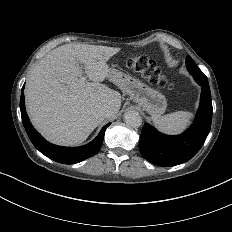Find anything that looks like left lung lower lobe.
<instances>
[{
	"mask_svg": "<svg viewBox=\"0 0 232 232\" xmlns=\"http://www.w3.org/2000/svg\"><path fill=\"white\" fill-rule=\"evenodd\" d=\"M201 86L200 105L193 124L182 134L169 136L158 132L145 123L139 150L152 164L170 167L189 161L203 146L211 129L212 100L208 83L198 82Z\"/></svg>",
	"mask_w": 232,
	"mask_h": 232,
	"instance_id": "obj_1",
	"label": "left lung lower lobe"
}]
</instances>
